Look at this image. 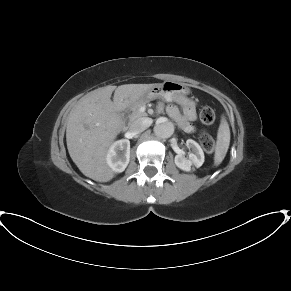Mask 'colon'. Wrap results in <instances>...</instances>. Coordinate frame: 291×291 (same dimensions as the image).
Wrapping results in <instances>:
<instances>
[{
  "label": "colon",
  "mask_w": 291,
  "mask_h": 291,
  "mask_svg": "<svg viewBox=\"0 0 291 291\" xmlns=\"http://www.w3.org/2000/svg\"><path fill=\"white\" fill-rule=\"evenodd\" d=\"M216 115L215 112L212 108L210 107H204L200 111V120L206 124V125H211L215 122ZM199 142L203 149L206 152H212L214 149V141L211 135L205 131H202L198 135Z\"/></svg>",
  "instance_id": "obj_1"
}]
</instances>
